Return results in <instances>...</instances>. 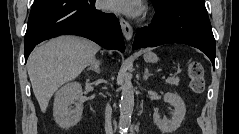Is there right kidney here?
I'll return each mask as SVG.
<instances>
[{
	"mask_svg": "<svg viewBox=\"0 0 239 134\" xmlns=\"http://www.w3.org/2000/svg\"><path fill=\"white\" fill-rule=\"evenodd\" d=\"M82 87L79 82H70L63 86L55 95L53 114L61 128H70L81 119L83 103L80 101ZM74 104L75 108L71 109Z\"/></svg>",
	"mask_w": 239,
	"mask_h": 134,
	"instance_id": "ca27d5eb",
	"label": "right kidney"
}]
</instances>
